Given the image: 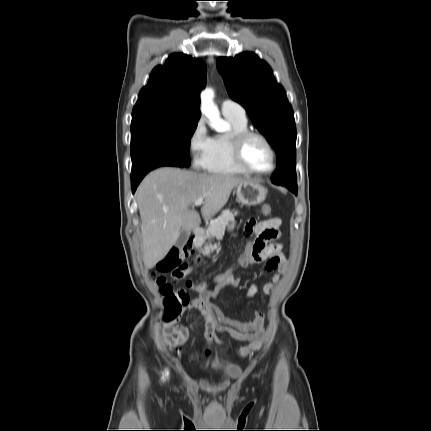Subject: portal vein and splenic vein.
<instances>
[{
  "instance_id": "18ae733b",
  "label": "portal vein and splenic vein",
  "mask_w": 431,
  "mask_h": 431,
  "mask_svg": "<svg viewBox=\"0 0 431 431\" xmlns=\"http://www.w3.org/2000/svg\"><path fill=\"white\" fill-rule=\"evenodd\" d=\"M203 199L204 198H198L195 202H194V204H193V206H201L202 204H203Z\"/></svg>"
}]
</instances>
